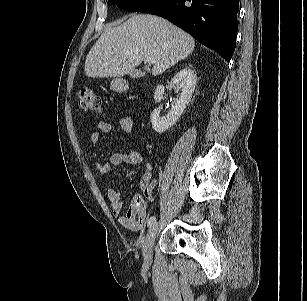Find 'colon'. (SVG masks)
Here are the masks:
<instances>
[{
    "label": "colon",
    "mask_w": 307,
    "mask_h": 301,
    "mask_svg": "<svg viewBox=\"0 0 307 301\" xmlns=\"http://www.w3.org/2000/svg\"><path fill=\"white\" fill-rule=\"evenodd\" d=\"M79 106L83 111L100 113L102 104L98 94L91 89H81L78 93Z\"/></svg>",
    "instance_id": "obj_1"
}]
</instances>
